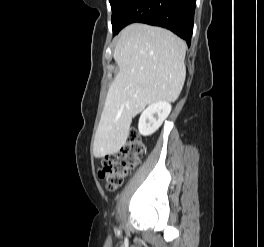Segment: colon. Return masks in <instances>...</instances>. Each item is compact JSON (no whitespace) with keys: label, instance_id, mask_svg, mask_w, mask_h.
I'll use <instances>...</instances> for the list:
<instances>
[{"label":"colon","instance_id":"obj_1","mask_svg":"<svg viewBox=\"0 0 264 247\" xmlns=\"http://www.w3.org/2000/svg\"><path fill=\"white\" fill-rule=\"evenodd\" d=\"M145 153L144 143L136 133H130L120 150L106 156L101 163L99 176L106 181L107 189L117 190L124 179L140 164Z\"/></svg>","mask_w":264,"mask_h":247}]
</instances>
